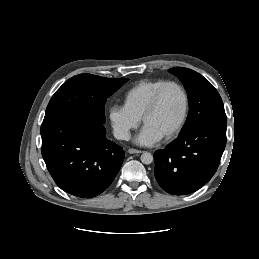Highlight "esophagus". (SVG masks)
Instances as JSON below:
<instances>
[{
    "label": "esophagus",
    "instance_id": "esophagus-1",
    "mask_svg": "<svg viewBox=\"0 0 259 259\" xmlns=\"http://www.w3.org/2000/svg\"><path fill=\"white\" fill-rule=\"evenodd\" d=\"M128 152L130 154H140V153H143L144 151L138 150V149H134V148H130V149H128Z\"/></svg>",
    "mask_w": 259,
    "mask_h": 259
}]
</instances>
